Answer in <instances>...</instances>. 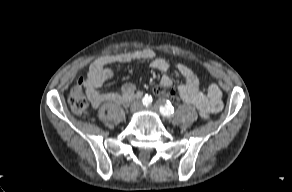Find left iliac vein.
<instances>
[{"mask_svg": "<svg viewBox=\"0 0 292 192\" xmlns=\"http://www.w3.org/2000/svg\"><path fill=\"white\" fill-rule=\"evenodd\" d=\"M147 110L153 111V112H157L158 108L156 106H149L146 108Z\"/></svg>", "mask_w": 292, "mask_h": 192, "instance_id": "1", "label": "left iliac vein"}]
</instances>
